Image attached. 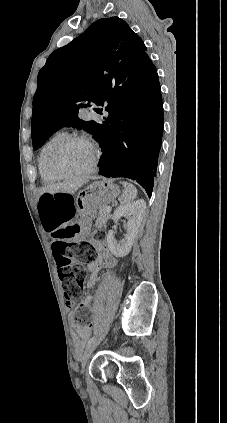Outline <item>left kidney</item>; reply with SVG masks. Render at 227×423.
I'll use <instances>...</instances> for the list:
<instances>
[{
  "label": "left kidney",
  "mask_w": 227,
  "mask_h": 423,
  "mask_svg": "<svg viewBox=\"0 0 227 423\" xmlns=\"http://www.w3.org/2000/svg\"><path fill=\"white\" fill-rule=\"evenodd\" d=\"M145 208L146 204L144 200H137V202H133V204H129V206H120V208L114 211L112 219H114L115 223H117L119 217H123V215L128 219L125 239L117 241L113 229H110L107 233L108 247L115 257H124V255L129 253L137 235L138 227H140L141 221H143Z\"/></svg>",
  "instance_id": "obj_1"
}]
</instances>
